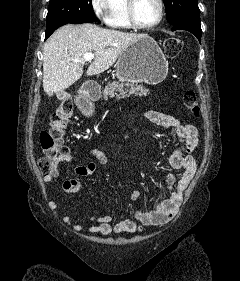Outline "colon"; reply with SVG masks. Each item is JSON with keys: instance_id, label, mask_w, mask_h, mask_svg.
Returning a JSON list of instances; mask_svg holds the SVG:
<instances>
[{"instance_id": "obj_1", "label": "colon", "mask_w": 240, "mask_h": 281, "mask_svg": "<svg viewBox=\"0 0 240 281\" xmlns=\"http://www.w3.org/2000/svg\"><path fill=\"white\" fill-rule=\"evenodd\" d=\"M164 48L167 56L174 58L181 53L183 44L179 38L172 37L165 41ZM183 101L185 107L195 117H199L200 109L195 93L191 90L187 91ZM72 115L73 104L71 100H63L51 115V129L40 133V145L44 154L40 161V169L44 175L52 172L54 159L71 154L69 147L65 144V127Z\"/></svg>"}]
</instances>
